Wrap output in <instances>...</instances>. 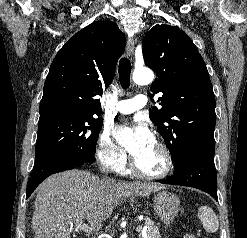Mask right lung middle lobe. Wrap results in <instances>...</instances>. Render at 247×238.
Instances as JSON below:
<instances>
[{"label": "right lung middle lobe", "instance_id": "obj_1", "mask_svg": "<svg viewBox=\"0 0 247 238\" xmlns=\"http://www.w3.org/2000/svg\"><path fill=\"white\" fill-rule=\"evenodd\" d=\"M101 127L102 119L95 116L39 123L34 168L59 157H70L92 164Z\"/></svg>", "mask_w": 247, "mask_h": 238}]
</instances>
